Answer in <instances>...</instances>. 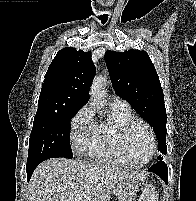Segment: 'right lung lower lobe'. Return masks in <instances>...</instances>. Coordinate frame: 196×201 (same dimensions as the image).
Listing matches in <instances>:
<instances>
[{"instance_id":"right-lung-lower-lobe-1","label":"right lung lower lobe","mask_w":196,"mask_h":201,"mask_svg":"<svg viewBox=\"0 0 196 201\" xmlns=\"http://www.w3.org/2000/svg\"><path fill=\"white\" fill-rule=\"evenodd\" d=\"M39 165V163H34L32 165H27V180L29 181L34 169Z\"/></svg>"}]
</instances>
